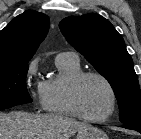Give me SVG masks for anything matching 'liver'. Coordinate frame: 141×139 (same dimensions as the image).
Wrapping results in <instances>:
<instances>
[{
    "label": "liver",
    "instance_id": "1",
    "mask_svg": "<svg viewBox=\"0 0 141 139\" xmlns=\"http://www.w3.org/2000/svg\"><path fill=\"white\" fill-rule=\"evenodd\" d=\"M88 126L61 114L0 112V139H69L75 132Z\"/></svg>",
    "mask_w": 141,
    "mask_h": 139
}]
</instances>
